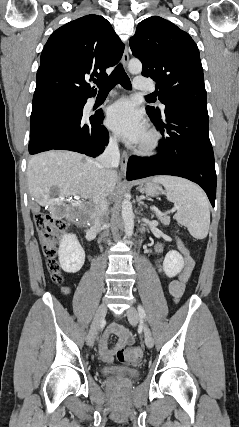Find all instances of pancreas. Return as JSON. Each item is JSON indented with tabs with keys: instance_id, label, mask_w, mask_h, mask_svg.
Instances as JSON below:
<instances>
[{
	"instance_id": "obj_1",
	"label": "pancreas",
	"mask_w": 239,
	"mask_h": 427,
	"mask_svg": "<svg viewBox=\"0 0 239 427\" xmlns=\"http://www.w3.org/2000/svg\"><path fill=\"white\" fill-rule=\"evenodd\" d=\"M156 216L157 218L160 220V222L164 225H169L170 224V217L167 215H160L156 212Z\"/></svg>"
}]
</instances>
